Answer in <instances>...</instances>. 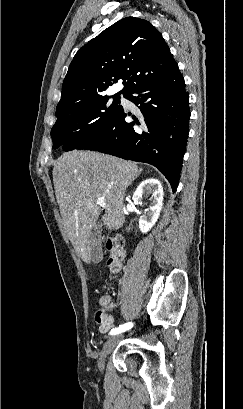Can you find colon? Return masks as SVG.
Listing matches in <instances>:
<instances>
[{"label":"colon","mask_w":243,"mask_h":409,"mask_svg":"<svg viewBox=\"0 0 243 409\" xmlns=\"http://www.w3.org/2000/svg\"><path fill=\"white\" fill-rule=\"evenodd\" d=\"M106 249L108 251L106 266L111 273L118 274L122 270L125 257L123 239L119 236L108 238L106 241ZM104 315L105 311L101 308L98 309L95 314V320L101 323Z\"/></svg>","instance_id":"obj_1"}]
</instances>
